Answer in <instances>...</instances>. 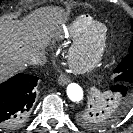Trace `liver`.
Instances as JSON below:
<instances>
[{"instance_id":"1","label":"liver","mask_w":133,"mask_h":133,"mask_svg":"<svg viewBox=\"0 0 133 133\" xmlns=\"http://www.w3.org/2000/svg\"><path fill=\"white\" fill-rule=\"evenodd\" d=\"M61 14L39 10L22 21L0 18V82L23 70L29 56L40 51L57 34Z\"/></svg>"}]
</instances>
